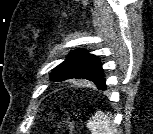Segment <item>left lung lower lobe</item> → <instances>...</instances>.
I'll list each match as a JSON object with an SVG mask.
<instances>
[{
	"label": "left lung lower lobe",
	"instance_id": "0a47b994",
	"mask_svg": "<svg viewBox=\"0 0 153 134\" xmlns=\"http://www.w3.org/2000/svg\"><path fill=\"white\" fill-rule=\"evenodd\" d=\"M99 90H106V86L105 87H99Z\"/></svg>",
	"mask_w": 153,
	"mask_h": 134
}]
</instances>
